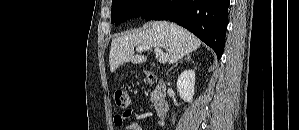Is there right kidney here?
Instances as JSON below:
<instances>
[{
    "instance_id": "right-kidney-1",
    "label": "right kidney",
    "mask_w": 299,
    "mask_h": 130,
    "mask_svg": "<svg viewBox=\"0 0 299 130\" xmlns=\"http://www.w3.org/2000/svg\"><path fill=\"white\" fill-rule=\"evenodd\" d=\"M195 72L194 70L183 71L177 80V91L185 102H192L194 96Z\"/></svg>"
}]
</instances>
